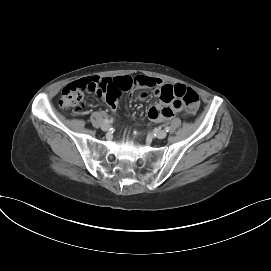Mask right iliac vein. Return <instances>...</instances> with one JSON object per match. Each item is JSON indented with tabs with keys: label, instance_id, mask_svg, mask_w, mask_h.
<instances>
[{
	"label": "right iliac vein",
	"instance_id": "63e3f726",
	"mask_svg": "<svg viewBox=\"0 0 271 271\" xmlns=\"http://www.w3.org/2000/svg\"><path fill=\"white\" fill-rule=\"evenodd\" d=\"M101 129H102L103 131H108V130L110 129V125L104 123V124H102Z\"/></svg>",
	"mask_w": 271,
	"mask_h": 271
}]
</instances>
